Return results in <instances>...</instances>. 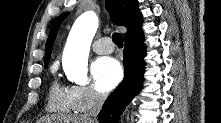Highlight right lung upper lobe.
<instances>
[{"mask_svg": "<svg viewBox=\"0 0 221 123\" xmlns=\"http://www.w3.org/2000/svg\"><path fill=\"white\" fill-rule=\"evenodd\" d=\"M106 8L111 13L114 24L127 28V32L124 34V40L138 37L143 34V17L139 12L137 0H106ZM67 15L68 13L62 14L53 22L45 47V63L49 62L58 29Z\"/></svg>", "mask_w": 221, "mask_h": 123, "instance_id": "cb5924a9", "label": "right lung upper lobe"}]
</instances>
